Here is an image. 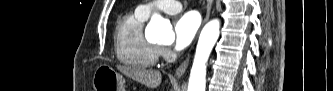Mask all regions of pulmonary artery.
Here are the masks:
<instances>
[{"instance_id": "pulmonary-artery-1", "label": "pulmonary artery", "mask_w": 333, "mask_h": 91, "mask_svg": "<svg viewBox=\"0 0 333 91\" xmlns=\"http://www.w3.org/2000/svg\"><path fill=\"white\" fill-rule=\"evenodd\" d=\"M181 9V3L174 0L155 1L148 4L139 5L137 7V11L144 16H148L153 11H163L168 14H176L180 12Z\"/></svg>"}]
</instances>
